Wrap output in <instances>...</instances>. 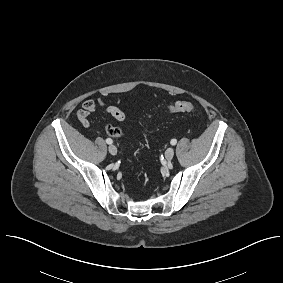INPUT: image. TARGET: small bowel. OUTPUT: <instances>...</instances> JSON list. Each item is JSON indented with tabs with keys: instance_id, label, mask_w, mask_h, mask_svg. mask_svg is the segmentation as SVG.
<instances>
[{
	"instance_id": "small-bowel-1",
	"label": "small bowel",
	"mask_w": 283,
	"mask_h": 283,
	"mask_svg": "<svg viewBox=\"0 0 283 283\" xmlns=\"http://www.w3.org/2000/svg\"><path fill=\"white\" fill-rule=\"evenodd\" d=\"M98 104L104 106L105 103L102 99H98L97 101L93 99H86L82 102L81 109L77 112V118L83 126L88 127L91 125L90 116L95 112ZM104 115L106 117H112L118 121H123L126 117L125 113L116 106H107L104 109ZM117 129L118 135L115 137L122 136L124 133L123 130L120 128Z\"/></svg>"
}]
</instances>
